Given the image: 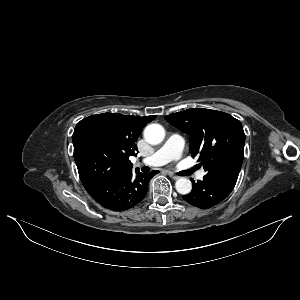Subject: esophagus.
Listing matches in <instances>:
<instances>
[{
  "instance_id": "obj_1",
  "label": "esophagus",
  "mask_w": 300,
  "mask_h": 300,
  "mask_svg": "<svg viewBox=\"0 0 300 300\" xmlns=\"http://www.w3.org/2000/svg\"><path fill=\"white\" fill-rule=\"evenodd\" d=\"M169 176L172 178V179H174V180H178L180 177L179 176H177V175H175V174H173V173H169Z\"/></svg>"
}]
</instances>
